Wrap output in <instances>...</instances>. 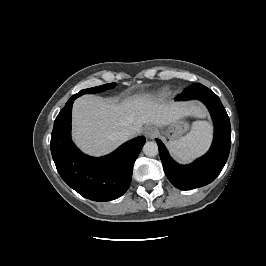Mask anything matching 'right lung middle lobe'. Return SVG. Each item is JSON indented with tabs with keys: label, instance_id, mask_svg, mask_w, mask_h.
I'll return each mask as SVG.
<instances>
[{
	"label": "right lung middle lobe",
	"instance_id": "obj_1",
	"mask_svg": "<svg viewBox=\"0 0 266 266\" xmlns=\"http://www.w3.org/2000/svg\"><path fill=\"white\" fill-rule=\"evenodd\" d=\"M115 85H116V83H108L105 85H101V86H97V87H93V88H89V89H84V90H81L80 92H78L77 94L73 95L72 97H79L83 94L100 93V92L106 91L108 89L114 88Z\"/></svg>",
	"mask_w": 266,
	"mask_h": 266
}]
</instances>
